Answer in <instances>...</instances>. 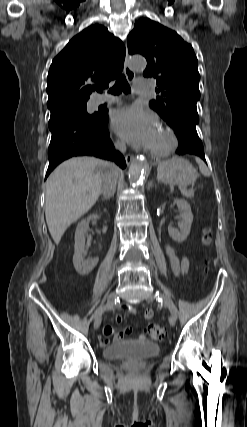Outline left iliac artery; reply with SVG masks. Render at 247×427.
Returning a JSON list of instances; mask_svg holds the SVG:
<instances>
[{
  "mask_svg": "<svg viewBox=\"0 0 247 427\" xmlns=\"http://www.w3.org/2000/svg\"><path fill=\"white\" fill-rule=\"evenodd\" d=\"M155 297L159 302H163V296L161 293H159V291L156 292ZM164 303H165V305L168 306L171 314H173L176 317L177 316V309L174 306V304L166 298H164Z\"/></svg>",
  "mask_w": 247,
  "mask_h": 427,
  "instance_id": "obj_1",
  "label": "left iliac artery"
}]
</instances>
